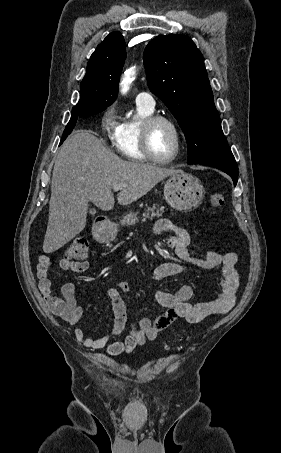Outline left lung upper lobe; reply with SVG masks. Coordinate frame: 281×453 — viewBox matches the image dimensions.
Here are the masks:
<instances>
[{
  "label": "left lung upper lobe",
  "mask_w": 281,
  "mask_h": 453,
  "mask_svg": "<svg viewBox=\"0 0 281 453\" xmlns=\"http://www.w3.org/2000/svg\"><path fill=\"white\" fill-rule=\"evenodd\" d=\"M147 83L177 119L188 145V164L233 160L222 132L204 66L185 35H160L144 51Z\"/></svg>",
  "instance_id": "5c2ea615"
}]
</instances>
